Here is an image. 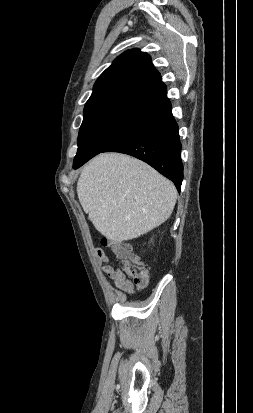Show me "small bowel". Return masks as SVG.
Returning a JSON list of instances; mask_svg holds the SVG:
<instances>
[{"mask_svg": "<svg viewBox=\"0 0 253 413\" xmlns=\"http://www.w3.org/2000/svg\"><path fill=\"white\" fill-rule=\"evenodd\" d=\"M95 257L102 272L110 278L116 288L127 294H133L135 292L134 284L119 267L109 260L103 249L97 248L95 250Z\"/></svg>", "mask_w": 253, "mask_h": 413, "instance_id": "c3829d8e", "label": "small bowel"}]
</instances>
